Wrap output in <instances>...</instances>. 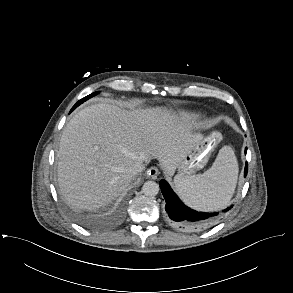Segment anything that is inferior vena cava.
Instances as JSON below:
<instances>
[{
    "mask_svg": "<svg viewBox=\"0 0 293 293\" xmlns=\"http://www.w3.org/2000/svg\"><path fill=\"white\" fill-rule=\"evenodd\" d=\"M144 168V164H143V161H138V162H135L131 167H130V172L133 174V175H136L138 174L139 172H141Z\"/></svg>",
    "mask_w": 293,
    "mask_h": 293,
    "instance_id": "obj_1",
    "label": "inferior vena cava"
}]
</instances>
